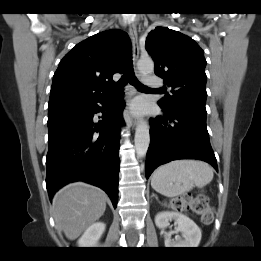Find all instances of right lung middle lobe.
I'll list each match as a JSON object with an SVG mask.
<instances>
[{"label":"right lung middle lobe","mask_w":261,"mask_h":261,"mask_svg":"<svg viewBox=\"0 0 261 261\" xmlns=\"http://www.w3.org/2000/svg\"><path fill=\"white\" fill-rule=\"evenodd\" d=\"M68 104H77V102H74V103L52 102V103H49L48 110L56 109V108H59V107H62V106L68 105Z\"/></svg>","instance_id":"right-lung-middle-lobe-1"}]
</instances>
